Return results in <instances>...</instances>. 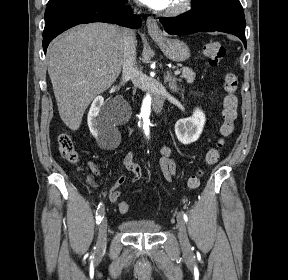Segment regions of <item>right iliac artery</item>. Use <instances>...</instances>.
<instances>
[{
    "mask_svg": "<svg viewBox=\"0 0 288 280\" xmlns=\"http://www.w3.org/2000/svg\"><path fill=\"white\" fill-rule=\"evenodd\" d=\"M104 217V204L102 202L99 203L97 211H96V222L100 224Z\"/></svg>",
    "mask_w": 288,
    "mask_h": 280,
    "instance_id": "1",
    "label": "right iliac artery"
}]
</instances>
